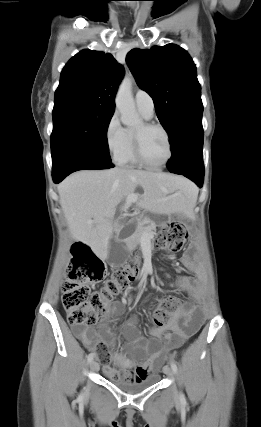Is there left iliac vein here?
<instances>
[{
	"instance_id": "obj_1",
	"label": "left iliac vein",
	"mask_w": 261,
	"mask_h": 427,
	"mask_svg": "<svg viewBox=\"0 0 261 427\" xmlns=\"http://www.w3.org/2000/svg\"><path fill=\"white\" fill-rule=\"evenodd\" d=\"M163 371H164V373L167 375V376H169V377H173V370H172V368L171 367H169V366H165L164 368H163Z\"/></svg>"
}]
</instances>
